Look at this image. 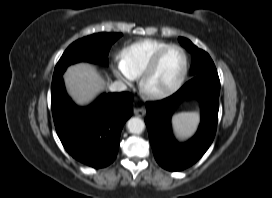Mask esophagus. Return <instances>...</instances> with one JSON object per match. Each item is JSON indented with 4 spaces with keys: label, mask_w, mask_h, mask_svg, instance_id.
I'll return each instance as SVG.
<instances>
[{
    "label": "esophagus",
    "mask_w": 272,
    "mask_h": 198,
    "mask_svg": "<svg viewBox=\"0 0 272 198\" xmlns=\"http://www.w3.org/2000/svg\"><path fill=\"white\" fill-rule=\"evenodd\" d=\"M134 114L136 116L142 117L146 114V110L143 107H137V108H134Z\"/></svg>",
    "instance_id": "esophagus-1"
}]
</instances>
